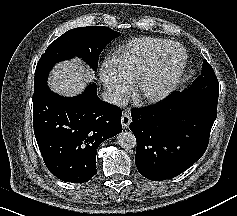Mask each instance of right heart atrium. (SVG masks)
<instances>
[{
    "instance_id": "d8ad5b80",
    "label": "right heart atrium",
    "mask_w": 237,
    "mask_h": 216,
    "mask_svg": "<svg viewBox=\"0 0 237 216\" xmlns=\"http://www.w3.org/2000/svg\"><path fill=\"white\" fill-rule=\"evenodd\" d=\"M99 75L104 87L112 98L120 100L128 94V86L113 76L105 64L101 65Z\"/></svg>"
}]
</instances>
